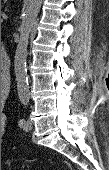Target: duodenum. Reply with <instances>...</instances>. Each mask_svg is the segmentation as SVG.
Returning <instances> with one entry per match:
<instances>
[{"mask_svg":"<svg viewBox=\"0 0 109 170\" xmlns=\"http://www.w3.org/2000/svg\"><path fill=\"white\" fill-rule=\"evenodd\" d=\"M1 61H2V66H3V68L5 69V68L8 66V56H7V55H4V56L2 57V59H1ZM7 86H8V81L5 80V82H4V88L6 89Z\"/></svg>","mask_w":109,"mask_h":170,"instance_id":"410a0bca","label":"duodenum"}]
</instances>
